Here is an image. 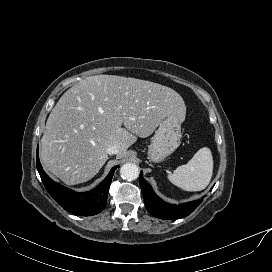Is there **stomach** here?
Listing matches in <instances>:
<instances>
[{"instance_id":"obj_1","label":"stomach","mask_w":272,"mask_h":272,"mask_svg":"<svg viewBox=\"0 0 272 272\" xmlns=\"http://www.w3.org/2000/svg\"><path fill=\"white\" fill-rule=\"evenodd\" d=\"M182 120L175 114L167 116L159 124L148 148V158L161 162L180 145Z\"/></svg>"}]
</instances>
